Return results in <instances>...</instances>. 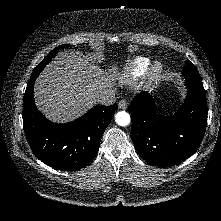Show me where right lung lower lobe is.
<instances>
[{
  "mask_svg": "<svg viewBox=\"0 0 221 221\" xmlns=\"http://www.w3.org/2000/svg\"><path fill=\"white\" fill-rule=\"evenodd\" d=\"M34 83L35 79H30L27 84L22 114L25 135L33 153L58 170L75 171L86 167L98 153L101 137L117 105L92 108L70 123H53L36 108Z\"/></svg>",
  "mask_w": 221,
  "mask_h": 221,
  "instance_id": "1",
  "label": "right lung lower lobe"
}]
</instances>
